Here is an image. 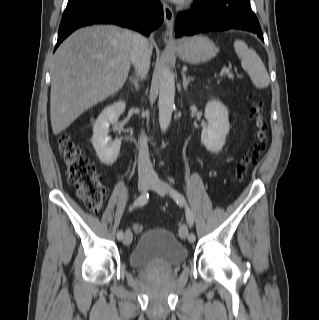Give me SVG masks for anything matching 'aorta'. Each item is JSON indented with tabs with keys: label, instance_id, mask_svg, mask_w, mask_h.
<instances>
[{
	"label": "aorta",
	"instance_id": "1",
	"mask_svg": "<svg viewBox=\"0 0 319 320\" xmlns=\"http://www.w3.org/2000/svg\"><path fill=\"white\" fill-rule=\"evenodd\" d=\"M175 81L173 72L167 67L162 70L159 91V124L162 131H165L171 121L174 109Z\"/></svg>",
	"mask_w": 319,
	"mask_h": 320
}]
</instances>
